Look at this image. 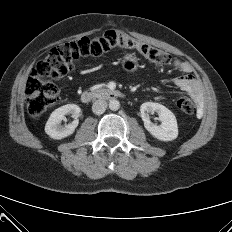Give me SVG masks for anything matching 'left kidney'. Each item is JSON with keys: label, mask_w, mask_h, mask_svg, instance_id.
Instances as JSON below:
<instances>
[{"label": "left kidney", "mask_w": 232, "mask_h": 232, "mask_svg": "<svg viewBox=\"0 0 232 232\" xmlns=\"http://www.w3.org/2000/svg\"><path fill=\"white\" fill-rule=\"evenodd\" d=\"M141 118L144 121V127L155 138L161 141H172L178 136V126L175 115L165 106L145 102L140 107ZM156 112L161 121L160 125L152 123L149 119V113Z\"/></svg>", "instance_id": "5707ae66"}]
</instances>
